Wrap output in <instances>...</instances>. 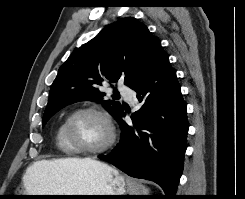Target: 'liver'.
<instances>
[{"instance_id":"1","label":"liver","mask_w":245,"mask_h":199,"mask_svg":"<svg viewBox=\"0 0 245 199\" xmlns=\"http://www.w3.org/2000/svg\"><path fill=\"white\" fill-rule=\"evenodd\" d=\"M91 165L100 166L102 163L91 158H64L37 161L27 168L23 177L24 186L29 192L58 193L61 190L55 184V177L69 175L78 169Z\"/></svg>"}]
</instances>
